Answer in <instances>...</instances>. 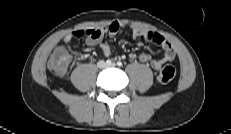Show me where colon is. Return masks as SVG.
<instances>
[{"mask_svg":"<svg viewBox=\"0 0 231 134\" xmlns=\"http://www.w3.org/2000/svg\"><path fill=\"white\" fill-rule=\"evenodd\" d=\"M70 59L71 56L68 51L63 47H59L55 49L50 56L48 62L49 68L57 74H64L68 68ZM175 76V68L172 66H166L160 71L158 79L161 83L166 84L171 82Z\"/></svg>","mask_w":231,"mask_h":134,"instance_id":"obj_1","label":"colon"}]
</instances>
